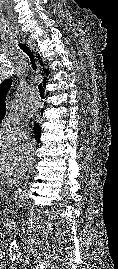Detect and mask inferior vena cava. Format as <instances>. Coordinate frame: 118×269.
Segmentation results:
<instances>
[{"label": "inferior vena cava", "mask_w": 118, "mask_h": 269, "mask_svg": "<svg viewBox=\"0 0 118 269\" xmlns=\"http://www.w3.org/2000/svg\"><path fill=\"white\" fill-rule=\"evenodd\" d=\"M32 151H33V145L31 143H27L25 145V155L26 156H25L24 163H23V173L25 172V170H27L33 164Z\"/></svg>", "instance_id": "inferior-vena-cava-1"}]
</instances>
